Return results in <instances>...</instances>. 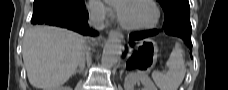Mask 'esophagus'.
Masks as SVG:
<instances>
[{"instance_id": "34e87169", "label": "esophagus", "mask_w": 228, "mask_h": 90, "mask_svg": "<svg viewBox=\"0 0 228 90\" xmlns=\"http://www.w3.org/2000/svg\"><path fill=\"white\" fill-rule=\"evenodd\" d=\"M109 36H110V37H115V38L123 39L122 33H120L119 31H115V30H111V31L109 32Z\"/></svg>"}]
</instances>
